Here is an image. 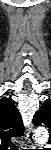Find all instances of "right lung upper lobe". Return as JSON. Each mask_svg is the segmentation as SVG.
<instances>
[{
  "mask_svg": "<svg viewBox=\"0 0 51 150\" xmlns=\"http://www.w3.org/2000/svg\"><path fill=\"white\" fill-rule=\"evenodd\" d=\"M24 132L21 115L10 98L0 99V141L8 148L12 137H20Z\"/></svg>",
  "mask_w": 51,
  "mask_h": 150,
  "instance_id": "cb5924a9",
  "label": "right lung upper lobe"
}]
</instances>
